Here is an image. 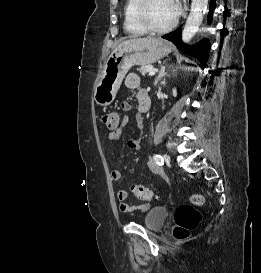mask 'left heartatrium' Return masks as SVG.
I'll list each match as a JSON object with an SVG mask.
<instances>
[{
  "mask_svg": "<svg viewBox=\"0 0 261 273\" xmlns=\"http://www.w3.org/2000/svg\"><path fill=\"white\" fill-rule=\"evenodd\" d=\"M172 1H173V5H174V11L177 16L180 12V3L178 2V0H172Z\"/></svg>",
  "mask_w": 261,
  "mask_h": 273,
  "instance_id": "39dd6f15",
  "label": "left heart atrium"
}]
</instances>
